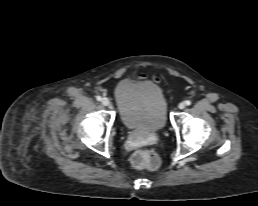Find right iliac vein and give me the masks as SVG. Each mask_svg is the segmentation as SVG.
<instances>
[{
  "mask_svg": "<svg viewBox=\"0 0 258 206\" xmlns=\"http://www.w3.org/2000/svg\"><path fill=\"white\" fill-rule=\"evenodd\" d=\"M101 102L104 106H108L110 104L109 99L106 97L102 98Z\"/></svg>",
  "mask_w": 258,
  "mask_h": 206,
  "instance_id": "right-iliac-vein-1",
  "label": "right iliac vein"
}]
</instances>
